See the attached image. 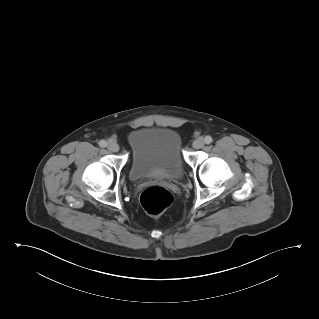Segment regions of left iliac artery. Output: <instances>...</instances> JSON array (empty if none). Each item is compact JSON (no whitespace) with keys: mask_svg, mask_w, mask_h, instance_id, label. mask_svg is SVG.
<instances>
[{"mask_svg":"<svg viewBox=\"0 0 319 319\" xmlns=\"http://www.w3.org/2000/svg\"><path fill=\"white\" fill-rule=\"evenodd\" d=\"M204 140L206 144H210L213 141L211 136H206Z\"/></svg>","mask_w":319,"mask_h":319,"instance_id":"left-iliac-artery-1","label":"left iliac artery"}]
</instances>
